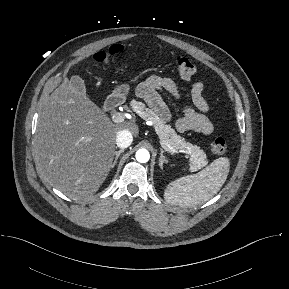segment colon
<instances>
[{"label": "colon", "instance_id": "5ec220e1", "mask_svg": "<svg viewBox=\"0 0 289 289\" xmlns=\"http://www.w3.org/2000/svg\"><path fill=\"white\" fill-rule=\"evenodd\" d=\"M122 50V46L114 45L108 51L99 52L95 55L94 61L98 65L108 64ZM175 69L179 76L183 79H190L195 74L194 64L185 56H177L175 59ZM211 150L218 155L224 154L227 151L226 141L217 137L212 140Z\"/></svg>", "mask_w": 289, "mask_h": 289}]
</instances>
